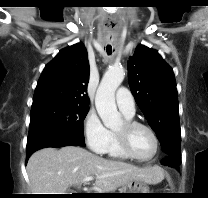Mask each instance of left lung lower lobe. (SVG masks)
I'll list each match as a JSON object with an SVG mask.
<instances>
[{"mask_svg": "<svg viewBox=\"0 0 208 198\" xmlns=\"http://www.w3.org/2000/svg\"><path fill=\"white\" fill-rule=\"evenodd\" d=\"M163 164L178 169L180 162H177L175 159L167 156V158L163 161Z\"/></svg>", "mask_w": 208, "mask_h": 198, "instance_id": "1", "label": "left lung lower lobe"}]
</instances>
